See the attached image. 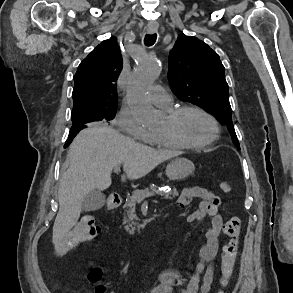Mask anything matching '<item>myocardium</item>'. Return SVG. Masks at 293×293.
Masks as SVG:
<instances>
[{
	"label": "myocardium",
	"mask_w": 293,
	"mask_h": 293,
	"mask_svg": "<svg viewBox=\"0 0 293 293\" xmlns=\"http://www.w3.org/2000/svg\"><path fill=\"white\" fill-rule=\"evenodd\" d=\"M189 111H194V112L200 113L210 122V124L212 126V134L207 140H205L201 143H190V142L183 140L180 136H178L172 130L161 132L159 134L162 137H164L165 139H167L168 141L180 146V148L202 149V148H205V147L213 144L219 138L220 127H219V124H218V121L216 120V118L212 114H210L208 111H206L205 109H203L199 106H195V105H184V106H180V107H177V108L170 110L167 114V118L172 123H175L180 118V116H182L184 113L189 112Z\"/></svg>",
	"instance_id": "obj_1"
}]
</instances>
